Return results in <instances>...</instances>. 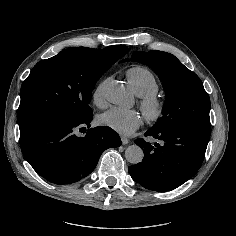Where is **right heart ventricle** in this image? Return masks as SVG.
<instances>
[{
    "instance_id": "e07e8e85",
    "label": "right heart ventricle",
    "mask_w": 236,
    "mask_h": 236,
    "mask_svg": "<svg viewBox=\"0 0 236 236\" xmlns=\"http://www.w3.org/2000/svg\"><path fill=\"white\" fill-rule=\"evenodd\" d=\"M126 75L136 95L141 98L153 96L159 91L157 78L145 67H132L127 70Z\"/></svg>"
}]
</instances>
